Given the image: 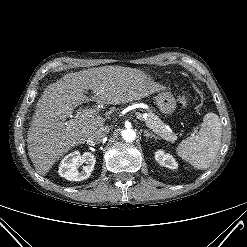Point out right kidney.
<instances>
[{
	"label": "right kidney",
	"instance_id": "ca27d5eb",
	"mask_svg": "<svg viewBox=\"0 0 247 247\" xmlns=\"http://www.w3.org/2000/svg\"><path fill=\"white\" fill-rule=\"evenodd\" d=\"M95 162L96 158L92 153L85 152L83 155H80L79 151H74L64 157L60 163L58 172L61 177L69 181H81L89 178L94 169ZM83 163L86 165L79 172L77 166Z\"/></svg>",
	"mask_w": 247,
	"mask_h": 247
}]
</instances>
